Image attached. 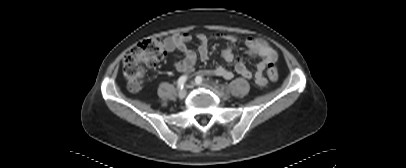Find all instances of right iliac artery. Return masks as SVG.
Returning <instances> with one entry per match:
<instances>
[{"label":"right iliac artery","instance_id":"right-iliac-artery-1","mask_svg":"<svg viewBox=\"0 0 406 168\" xmlns=\"http://www.w3.org/2000/svg\"><path fill=\"white\" fill-rule=\"evenodd\" d=\"M187 81V76L183 75L178 79V88L183 89L185 82Z\"/></svg>","mask_w":406,"mask_h":168}]
</instances>
